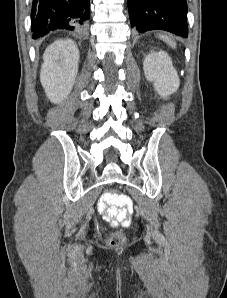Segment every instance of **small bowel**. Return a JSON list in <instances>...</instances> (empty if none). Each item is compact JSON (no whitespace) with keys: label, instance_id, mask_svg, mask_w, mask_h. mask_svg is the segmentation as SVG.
Wrapping results in <instances>:
<instances>
[{"label":"small bowel","instance_id":"c3829d8e","mask_svg":"<svg viewBox=\"0 0 227 298\" xmlns=\"http://www.w3.org/2000/svg\"><path fill=\"white\" fill-rule=\"evenodd\" d=\"M98 208H99V211L100 212H103V208L100 205H98ZM117 221L118 222H122L124 224H127L128 223L127 218L126 219H122L120 215L117 217Z\"/></svg>","mask_w":227,"mask_h":298}]
</instances>
